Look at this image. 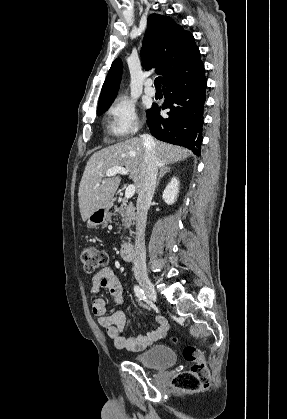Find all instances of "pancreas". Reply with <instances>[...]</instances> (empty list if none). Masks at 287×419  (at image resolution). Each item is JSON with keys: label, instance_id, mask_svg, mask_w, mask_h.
I'll list each match as a JSON object with an SVG mask.
<instances>
[{"label": "pancreas", "instance_id": "pancreas-1", "mask_svg": "<svg viewBox=\"0 0 287 419\" xmlns=\"http://www.w3.org/2000/svg\"><path fill=\"white\" fill-rule=\"evenodd\" d=\"M114 216H120L122 226L126 229H129L130 233H132L131 229L136 218L135 207L132 203H129L127 200H122V203L119 207L115 206ZM126 239L129 240L130 238L126 237Z\"/></svg>", "mask_w": 287, "mask_h": 419}]
</instances>
